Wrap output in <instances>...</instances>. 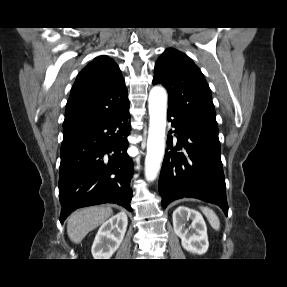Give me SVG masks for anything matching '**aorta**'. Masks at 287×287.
Wrapping results in <instances>:
<instances>
[{
	"label": "aorta",
	"instance_id": "aorta-1",
	"mask_svg": "<svg viewBox=\"0 0 287 287\" xmlns=\"http://www.w3.org/2000/svg\"><path fill=\"white\" fill-rule=\"evenodd\" d=\"M149 130L147 154L145 157V178L156 179L165 151V129L167 112V93L161 86H154L148 98Z\"/></svg>",
	"mask_w": 287,
	"mask_h": 287
}]
</instances>
